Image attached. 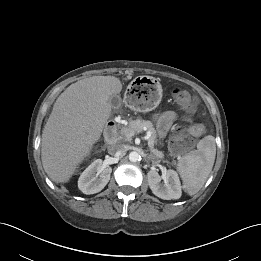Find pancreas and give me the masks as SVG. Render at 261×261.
Here are the masks:
<instances>
[{
	"mask_svg": "<svg viewBox=\"0 0 261 261\" xmlns=\"http://www.w3.org/2000/svg\"><path fill=\"white\" fill-rule=\"evenodd\" d=\"M146 130L147 133L149 134V142L151 143L150 150L152 152L151 158L152 159H162L164 158V154L155 149L154 145L157 144V134H156V130L153 127L152 122L150 121H146V120H142V119H136V120H132L129 122V124L127 126H124L120 129L119 133L121 135V139L124 141H130L131 138H128L126 136L127 132H133L134 134L136 133H141L142 131Z\"/></svg>",
	"mask_w": 261,
	"mask_h": 261,
	"instance_id": "1",
	"label": "pancreas"
}]
</instances>
